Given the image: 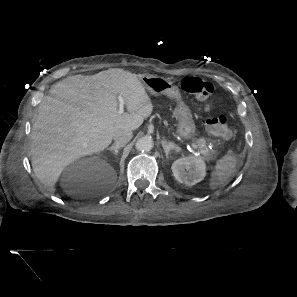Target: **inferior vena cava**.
I'll return each mask as SVG.
<instances>
[{
    "label": "inferior vena cava",
    "mask_w": 297,
    "mask_h": 297,
    "mask_svg": "<svg viewBox=\"0 0 297 297\" xmlns=\"http://www.w3.org/2000/svg\"><path fill=\"white\" fill-rule=\"evenodd\" d=\"M132 131L129 129L119 130L114 135V141L117 146L123 147L132 139Z\"/></svg>",
    "instance_id": "1"
}]
</instances>
